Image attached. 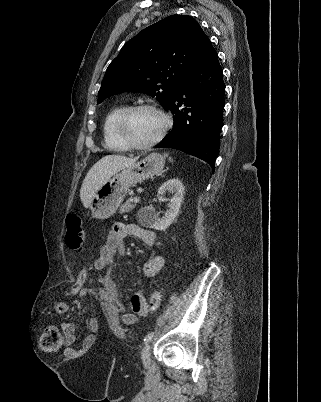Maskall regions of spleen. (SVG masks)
I'll list each match as a JSON object with an SVG mask.
<instances>
[{"instance_id": "obj_1", "label": "spleen", "mask_w": 321, "mask_h": 402, "mask_svg": "<svg viewBox=\"0 0 321 402\" xmlns=\"http://www.w3.org/2000/svg\"><path fill=\"white\" fill-rule=\"evenodd\" d=\"M164 157H168V154H167V153H165V154H164ZM169 160L171 161V159H169Z\"/></svg>"}]
</instances>
